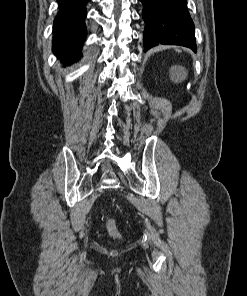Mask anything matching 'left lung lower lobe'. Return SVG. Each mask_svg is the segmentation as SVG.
<instances>
[{
    "label": "left lung lower lobe",
    "mask_w": 247,
    "mask_h": 296,
    "mask_svg": "<svg viewBox=\"0 0 247 296\" xmlns=\"http://www.w3.org/2000/svg\"><path fill=\"white\" fill-rule=\"evenodd\" d=\"M145 21V51L158 44H173L197 50L195 28L186 0H140Z\"/></svg>",
    "instance_id": "0a47b994"
}]
</instances>
